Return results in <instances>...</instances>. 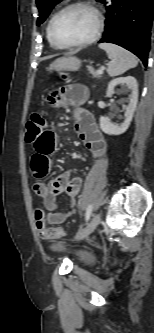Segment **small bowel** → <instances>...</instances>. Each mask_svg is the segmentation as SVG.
Masks as SVG:
<instances>
[{"label":"small bowel","instance_id":"c3829d8e","mask_svg":"<svg viewBox=\"0 0 154 333\" xmlns=\"http://www.w3.org/2000/svg\"><path fill=\"white\" fill-rule=\"evenodd\" d=\"M88 98V89L82 84H68L53 94L51 100L64 105L75 107V130L95 158L102 157L107 151V142L97 126L91 112L80 108ZM34 154L31 157V171L35 178L46 177L52 168L51 155L57 149V135L53 130L43 129L33 143ZM82 187V180L77 177L61 175L48 184L35 182L34 193L43 200L46 211L45 221L49 225H60L75 212L77 197ZM65 193L70 199V208L59 212L56 197Z\"/></svg>","mask_w":154,"mask_h":333}]
</instances>
